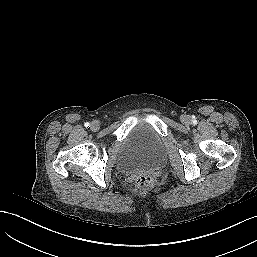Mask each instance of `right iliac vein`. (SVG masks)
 <instances>
[{
  "label": "right iliac vein",
  "mask_w": 257,
  "mask_h": 257,
  "mask_svg": "<svg viewBox=\"0 0 257 257\" xmlns=\"http://www.w3.org/2000/svg\"><path fill=\"white\" fill-rule=\"evenodd\" d=\"M99 128H100V125H99V123L97 121H93L91 123V130L92 131H97Z\"/></svg>",
  "instance_id": "obj_1"
}]
</instances>
